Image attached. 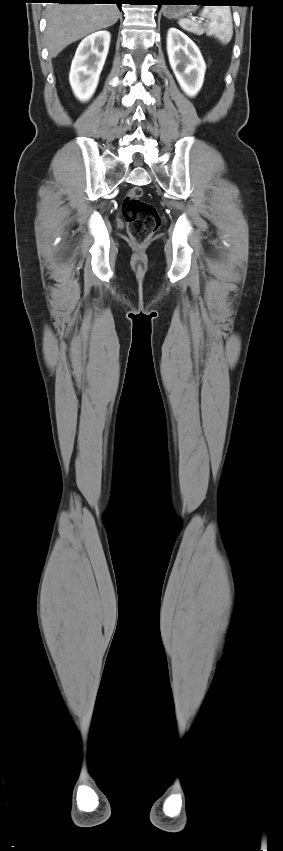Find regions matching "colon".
<instances>
[{"label":"colon","mask_w":283,"mask_h":851,"mask_svg":"<svg viewBox=\"0 0 283 851\" xmlns=\"http://www.w3.org/2000/svg\"><path fill=\"white\" fill-rule=\"evenodd\" d=\"M142 193L141 187H131L126 192L122 203V212L127 222L129 235L138 246L145 244L160 225L157 209L152 204L141 200Z\"/></svg>","instance_id":"1"}]
</instances>
